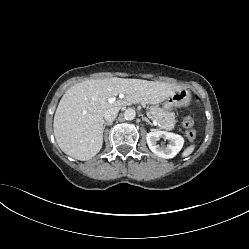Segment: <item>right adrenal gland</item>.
Masks as SVG:
<instances>
[{
  "instance_id": "2a0ac1e0",
  "label": "right adrenal gland",
  "mask_w": 249,
  "mask_h": 249,
  "mask_svg": "<svg viewBox=\"0 0 249 249\" xmlns=\"http://www.w3.org/2000/svg\"><path fill=\"white\" fill-rule=\"evenodd\" d=\"M112 124V122H106V123H104V125H103V131L105 130V127L106 126H109V125H111Z\"/></svg>"
}]
</instances>
